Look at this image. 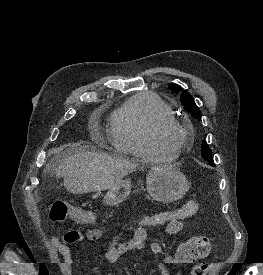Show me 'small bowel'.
I'll return each mask as SVG.
<instances>
[{
	"label": "small bowel",
	"instance_id": "small-bowel-1",
	"mask_svg": "<svg viewBox=\"0 0 263 275\" xmlns=\"http://www.w3.org/2000/svg\"><path fill=\"white\" fill-rule=\"evenodd\" d=\"M183 229V223L180 220H172L166 223L165 231L168 234H177ZM103 236L101 229H91L85 234L79 231H68L64 234L63 241L55 235L50 236V243L63 259L64 266H70L73 263L71 249L68 243H85L86 241H96ZM148 248L153 254L162 256V261L158 264L160 275H169L167 266L176 264L174 257L166 254L163 247L156 241L149 238L146 225L141 224L134 231L132 238L125 242H115L108 246L105 251V259L108 263H117L125 254L132 250H143ZM95 275H101L100 269H94ZM110 275V274H109Z\"/></svg>",
	"mask_w": 263,
	"mask_h": 275
}]
</instances>
